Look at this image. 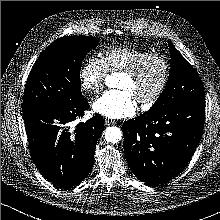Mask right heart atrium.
<instances>
[{
  "label": "right heart atrium",
  "mask_w": 220,
  "mask_h": 220,
  "mask_svg": "<svg viewBox=\"0 0 220 220\" xmlns=\"http://www.w3.org/2000/svg\"><path fill=\"white\" fill-rule=\"evenodd\" d=\"M107 68L101 58L92 56L88 58L79 70V84L84 92L99 93L107 77Z\"/></svg>",
  "instance_id": "d8ad5b80"
}]
</instances>
